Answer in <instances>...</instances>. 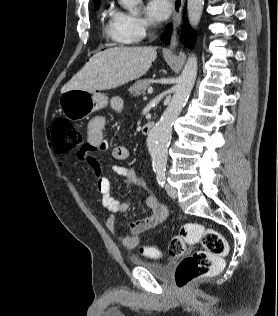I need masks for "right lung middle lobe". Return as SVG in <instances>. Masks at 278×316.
Wrapping results in <instances>:
<instances>
[{"label": "right lung middle lobe", "instance_id": "right-lung-middle-lobe-1", "mask_svg": "<svg viewBox=\"0 0 278 316\" xmlns=\"http://www.w3.org/2000/svg\"><path fill=\"white\" fill-rule=\"evenodd\" d=\"M94 5H95V9L97 10V9L99 8V6H100V1H99V2L94 3Z\"/></svg>", "mask_w": 278, "mask_h": 316}]
</instances>
